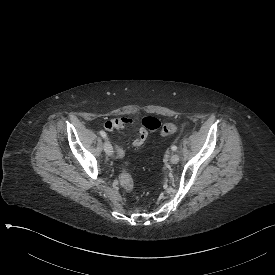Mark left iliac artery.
I'll use <instances>...</instances> for the list:
<instances>
[{"instance_id": "obj_1", "label": "left iliac artery", "mask_w": 275, "mask_h": 275, "mask_svg": "<svg viewBox=\"0 0 275 275\" xmlns=\"http://www.w3.org/2000/svg\"><path fill=\"white\" fill-rule=\"evenodd\" d=\"M171 149H172L173 151H176V150H177V147L174 145V146L171 147Z\"/></svg>"}]
</instances>
